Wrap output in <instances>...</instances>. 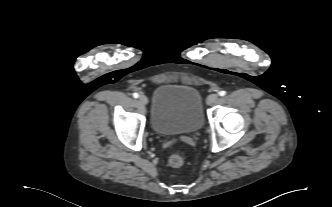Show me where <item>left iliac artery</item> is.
<instances>
[{
  "label": "left iliac artery",
  "mask_w": 332,
  "mask_h": 207,
  "mask_svg": "<svg viewBox=\"0 0 332 207\" xmlns=\"http://www.w3.org/2000/svg\"><path fill=\"white\" fill-rule=\"evenodd\" d=\"M219 95H220V96H225V95H226V91H223V90L220 91V92H219Z\"/></svg>",
  "instance_id": "left-iliac-artery-1"
}]
</instances>
